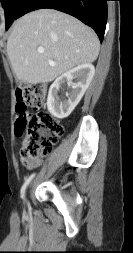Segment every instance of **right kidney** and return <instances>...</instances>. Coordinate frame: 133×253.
Masks as SVG:
<instances>
[{"label":"right kidney","instance_id":"obj_1","mask_svg":"<svg viewBox=\"0 0 133 253\" xmlns=\"http://www.w3.org/2000/svg\"><path fill=\"white\" fill-rule=\"evenodd\" d=\"M94 73V66L86 63L78 65L56 79L49 89L47 98L48 111L59 119L68 117L83 97ZM65 83L70 86V91L66 93V98H61L58 95V91Z\"/></svg>","mask_w":133,"mask_h":253}]
</instances>
